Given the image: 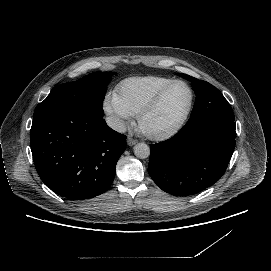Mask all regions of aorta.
<instances>
[{"instance_id": "1", "label": "aorta", "mask_w": 271, "mask_h": 271, "mask_svg": "<svg viewBox=\"0 0 271 271\" xmlns=\"http://www.w3.org/2000/svg\"><path fill=\"white\" fill-rule=\"evenodd\" d=\"M134 154L140 159H145L150 155V148L145 143H138L134 146Z\"/></svg>"}]
</instances>
